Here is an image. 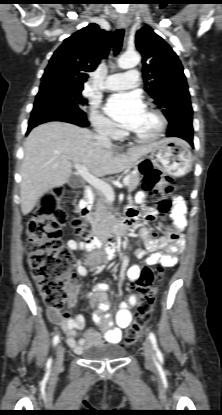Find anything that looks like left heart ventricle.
Returning a JSON list of instances; mask_svg holds the SVG:
<instances>
[{"label":"left heart ventricle","mask_w":222,"mask_h":415,"mask_svg":"<svg viewBox=\"0 0 222 415\" xmlns=\"http://www.w3.org/2000/svg\"><path fill=\"white\" fill-rule=\"evenodd\" d=\"M159 122L155 115L144 108L142 114L130 130L142 136H151L158 129Z\"/></svg>","instance_id":"b2bd125f"}]
</instances>
